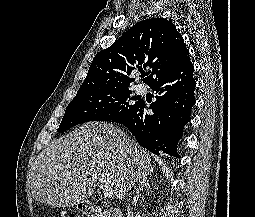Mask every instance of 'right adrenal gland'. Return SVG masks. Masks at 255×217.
<instances>
[{
  "instance_id": "1",
  "label": "right adrenal gland",
  "mask_w": 255,
  "mask_h": 217,
  "mask_svg": "<svg viewBox=\"0 0 255 217\" xmlns=\"http://www.w3.org/2000/svg\"><path fill=\"white\" fill-rule=\"evenodd\" d=\"M150 187V182H149V177H144L139 180L138 188L136 189L135 196L133 197L132 204L136 205L137 201L139 200L140 197V191L143 190L144 188H149Z\"/></svg>"
}]
</instances>
